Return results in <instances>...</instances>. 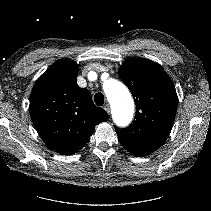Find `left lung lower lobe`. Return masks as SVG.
I'll use <instances>...</instances> for the list:
<instances>
[{
    "mask_svg": "<svg viewBox=\"0 0 211 211\" xmlns=\"http://www.w3.org/2000/svg\"><path fill=\"white\" fill-rule=\"evenodd\" d=\"M121 145L135 156L142 157L158 149L161 145L156 144H139L118 138Z\"/></svg>",
    "mask_w": 211,
    "mask_h": 211,
    "instance_id": "0a47b994",
    "label": "left lung lower lobe"
}]
</instances>
